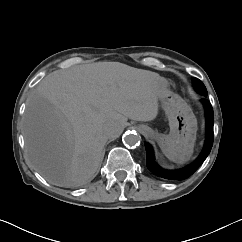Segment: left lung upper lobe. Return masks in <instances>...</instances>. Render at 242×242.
I'll return each mask as SVG.
<instances>
[{
  "mask_svg": "<svg viewBox=\"0 0 242 242\" xmlns=\"http://www.w3.org/2000/svg\"><path fill=\"white\" fill-rule=\"evenodd\" d=\"M193 85L194 88L196 89V91H198L200 94L207 96V90L204 86V84L202 83V81H200L197 78H193Z\"/></svg>",
  "mask_w": 242,
  "mask_h": 242,
  "instance_id": "obj_1",
  "label": "left lung upper lobe"
}]
</instances>
